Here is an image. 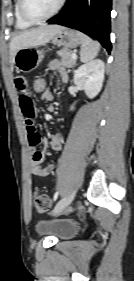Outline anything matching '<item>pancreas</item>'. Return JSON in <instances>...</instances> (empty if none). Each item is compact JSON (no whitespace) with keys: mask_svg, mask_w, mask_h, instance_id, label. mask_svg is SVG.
<instances>
[{"mask_svg":"<svg viewBox=\"0 0 134 281\" xmlns=\"http://www.w3.org/2000/svg\"><path fill=\"white\" fill-rule=\"evenodd\" d=\"M73 52L67 48H63L57 52L61 57V65L67 68H72L76 64V60L72 59Z\"/></svg>","mask_w":134,"mask_h":281,"instance_id":"cf45deb5","label":"pancreas"}]
</instances>
